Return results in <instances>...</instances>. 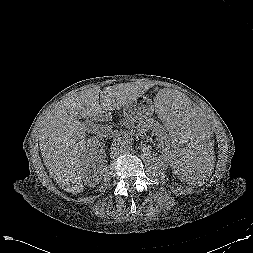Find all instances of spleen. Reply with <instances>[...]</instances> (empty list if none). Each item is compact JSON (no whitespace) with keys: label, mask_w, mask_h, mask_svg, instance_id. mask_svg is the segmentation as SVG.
I'll list each match as a JSON object with an SVG mask.
<instances>
[{"label":"spleen","mask_w":253,"mask_h":253,"mask_svg":"<svg viewBox=\"0 0 253 253\" xmlns=\"http://www.w3.org/2000/svg\"><path fill=\"white\" fill-rule=\"evenodd\" d=\"M153 105L166 127L175 176L186 186L201 184L209 177L215 157L211 131L202 111L172 88L159 91Z\"/></svg>","instance_id":"1"}]
</instances>
